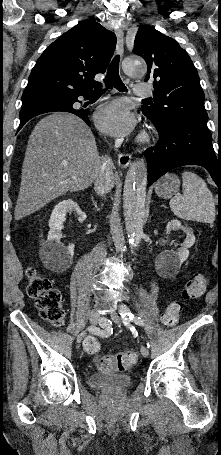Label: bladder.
<instances>
[{
    "label": "bladder",
    "mask_w": 221,
    "mask_h": 455,
    "mask_svg": "<svg viewBox=\"0 0 221 455\" xmlns=\"http://www.w3.org/2000/svg\"><path fill=\"white\" fill-rule=\"evenodd\" d=\"M130 384L131 377L128 374L95 373L89 376V386L98 390L119 391L126 389Z\"/></svg>",
    "instance_id": "1"
}]
</instances>
